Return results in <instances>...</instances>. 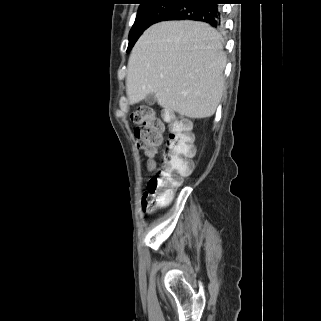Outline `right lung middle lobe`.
<instances>
[{"instance_id":"obj_1","label":"right lung middle lobe","mask_w":321,"mask_h":321,"mask_svg":"<svg viewBox=\"0 0 321 321\" xmlns=\"http://www.w3.org/2000/svg\"><path fill=\"white\" fill-rule=\"evenodd\" d=\"M177 2L175 0H153L140 5L135 22L129 33L130 51L141 34L152 24L157 23L163 13L172 8Z\"/></svg>"}]
</instances>
